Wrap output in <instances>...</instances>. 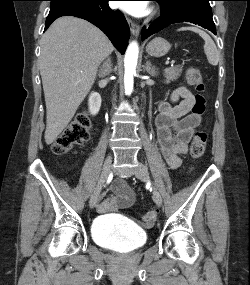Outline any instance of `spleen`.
<instances>
[{
	"label": "spleen",
	"mask_w": 250,
	"mask_h": 285,
	"mask_svg": "<svg viewBox=\"0 0 250 285\" xmlns=\"http://www.w3.org/2000/svg\"><path fill=\"white\" fill-rule=\"evenodd\" d=\"M179 30L181 31H185V30H189V31H193L195 33H198L200 35V37H202V39L204 40L205 44H204V52L207 56V60L209 62V64L216 66L218 65L219 62V51L217 50V47L214 43V41L212 40V38L203 30L197 28V27H182Z\"/></svg>",
	"instance_id": "obj_1"
}]
</instances>
